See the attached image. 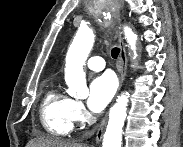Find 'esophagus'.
<instances>
[{
    "mask_svg": "<svg viewBox=\"0 0 183 147\" xmlns=\"http://www.w3.org/2000/svg\"><path fill=\"white\" fill-rule=\"evenodd\" d=\"M119 43H120V48H121L120 55H119V90H120L122 83L124 81V78H125V74H126L127 56H126L125 44H124L122 36H120V38H119ZM106 122H107V116L102 120V122L97 130V133H96V142L97 143H100L102 140Z\"/></svg>",
    "mask_w": 183,
    "mask_h": 147,
    "instance_id": "esophagus-1",
    "label": "esophagus"
}]
</instances>
